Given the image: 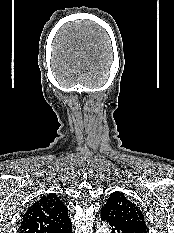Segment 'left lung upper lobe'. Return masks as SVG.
Wrapping results in <instances>:
<instances>
[{"mask_svg": "<svg viewBox=\"0 0 174 233\" xmlns=\"http://www.w3.org/2000/svg\"><path fill=\"white\" fill-rule=\"evenodd\" d=\"M102 211L113 219L148 229L141 210L135 203L128 200L122 192L111 193L102 207Z\"/></svg>", "mask_w": 174, "mask_h": 233, "instance_id": "obj_1", "label": "left lung upper lobe"}]
</instances>
